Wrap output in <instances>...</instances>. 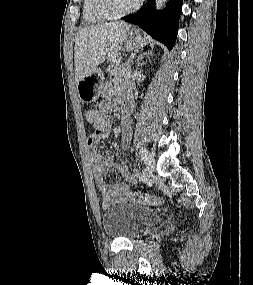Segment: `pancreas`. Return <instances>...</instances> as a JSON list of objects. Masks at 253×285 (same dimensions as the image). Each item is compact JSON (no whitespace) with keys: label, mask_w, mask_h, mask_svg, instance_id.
I'll return each mask as SVG.
<instances>
[{"label":"pancreas","mask_w":253,"mask_h":285,"mask_svg":"<svg viewBox=\"0 0 253 285\" xmlns=\"http://www.w3.org/2000/svg\"><path fill=\"white\" fill-rule=\"evenodd\" d=\"M127 71H130V64H120L118 62H113L106 70L108 75L115 77H124Z\"/></svg>","instance_id":"1"}]
</instances>
